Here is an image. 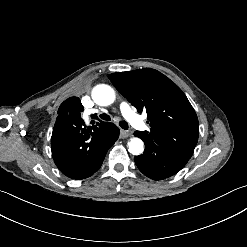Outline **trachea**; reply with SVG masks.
<instances>
[{"mask_svg": "<svg viewBox=\"0 0 247 247\" xmlns=\"http://www.w3.org/2000/svg\"><path fill=\"white\" fill-rule=\"evenodd\" d=\"M99 117L105 121H110V116L107 114H101ZM119 125L121 128H123L125 130L128 129V123L126 121H120Z\"/></svg>", "mask_w": 247, "mask_h": 247, "instance_id": "trachea-1", "label": "trachea"}]
</instances>
